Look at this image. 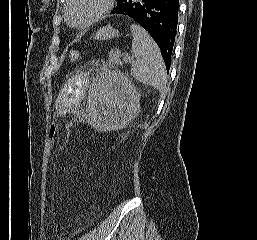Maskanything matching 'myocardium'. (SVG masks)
<instances>
[{
	"mask_svg": "<svg viewBox=\"0 0 257 240\" xmlns=\"http://www.w3.org/2000/svg\"><path fill=\"white\" fill-rule=\"evenodd\" d=\"M113 1L114 0H103V4L101 8L93 16H91L83 23L77 24V23H73L69 16V6L73 2V0H66L65 6H64V15L68 24L71 27L78 28V29L86 28L92 25L93 23L97 22L98 20H100L106 13H108L112 8Z\"/></svg>",
	"mask_w": 257,
	"mask_h": 240,
	"instance_id": "f54148a6",
	"label": "myocardium"
}]
</instances>
